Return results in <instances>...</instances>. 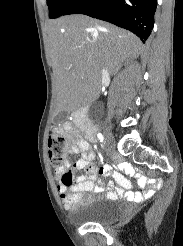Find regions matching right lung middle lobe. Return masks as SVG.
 I'll return each mask as SVG.
<instances>
[{
  "label": "right lung middle lobe",
  "mask_w": 183,
  "mask_h": 246,
  "mask_svg": "<svg viewBox=\"0 0 183 246\" xmlns=\"http://www.w3.org/2000/svg\"><path fill=\"white\" fill-rule=\"evenodd\" d=\"M75 0H47L49 7V17L57 18L63 15Z\"/></svg>",
  "instance_id": "dd1d6c3e"
}]
</instances>
